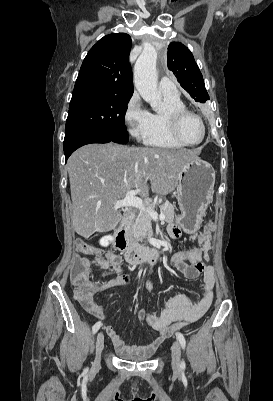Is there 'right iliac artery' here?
<instances>
[{"label": "right iliac artery", "instance_id": "right-iliac-artery-1", "mask_svg": "<svg viewBox=\"0 0 273 401\" xmlns=\"http://www.w3.org/2000/svg\"><path fill=\"white\" fill-rule=\"evenodd\" d=\"M101 326H102L101 321H98L97 323H95V325L92 328L93 333L95 334L100 329Z\"/></svg>", "mask_w": 273, "mask_h": 401}]
</instances>
